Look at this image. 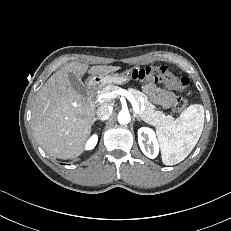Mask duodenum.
I'll list each match as a JSON object with an SVG mask.
<instances>
[{"label": "duodenum", "mask_w": 231, "mask_h": 231, "mask_svg": "<svg viewBox=\"0 0 231 231\" xmlns=\"http://www.w3.org/2000/svg\"><path fill=\"white\" fill-rule=\"evenodd\" d=\"M95 89V84L94 83H89L87 85V92H88V99L91 100L93 97V92Z\"/></svg>", "instance_id": "obj_1"}]
</instances>
